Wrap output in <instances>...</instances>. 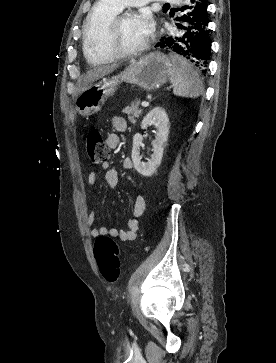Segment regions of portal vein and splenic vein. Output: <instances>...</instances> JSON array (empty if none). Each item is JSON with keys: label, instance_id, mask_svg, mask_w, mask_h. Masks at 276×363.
Masks as SVG:
<instances>
[{"label": "portal vein and splenic vein", "instance_id": "18ae733b", "mask_svg": "<svg viewBox=\"0 0 276 363\" xmlns=\"http://www.w3.org/2000/svg\"><path fill=\"white\" fill-rule=\"evenodd\" d=\"M141 105H142L143 107H147V106H149V103H148L147 101H143V102L141 103Z\"/></svg>", "mask_w": 276, "mask_h": 363}]
</instances>
